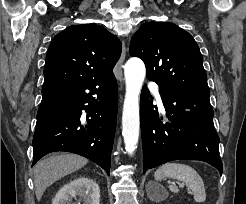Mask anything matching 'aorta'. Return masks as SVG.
<instances>
[{"label":"aorta","instance_id":"obj_1","mask_svg":"<svg viewBox=\"0 0 246 204\" xmlns=\"http://www.w3.org/2000/svg\"><path fill=\"white\" fill-rule=\"evenodd\" d=\"M125 99L122 113V135L125 149L132 154L137 148L140 130L139 95L146 75L143 61L137 57L130 58L124 66Z\"/></svg>","mask_w":246,"mask_h":204}]
</instances>
